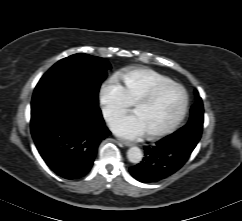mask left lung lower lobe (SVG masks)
<instances>
[{
    "instance_id": "obj_1",
    "label": "left lung lower lobe",
    "mask_w": 242,
    "mask_h": 221,
    "mask_svg": "<svg viewBox=\"0 0 242 221\" xmlns=\"http://www.w3.org/2000/svg\"><path fill=\"white\" fill-rule=\"evenodd\" d=\"M200 137L201 133L197 131L179 130L154 146H146L143 161L130 167V174L143 183L156 182L174 174L188 160Z\"/></svg>"
}]
</instances>
